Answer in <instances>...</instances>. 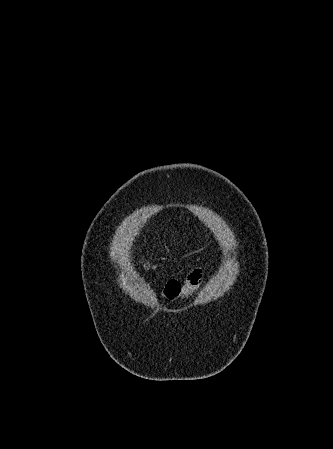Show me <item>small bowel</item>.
<instances>
[{"mask_svg": "<svg viewBox=\"0 0 333 449\" xmlns=\"http://www.w3.org/2000/svg\"><path fill=\"white\" fill-rule=\"evenodd\" d=\"M204 276L205 270L202 267H196L188 273L183 283L177 280L170 281L163 290V296L169 301H176L192 295L198 289Z\"/></svg>", "mask_w": 333, "mask_h": 449, "instance_id": "c3829d8e", "label": "small bowel"}]
</instances>
